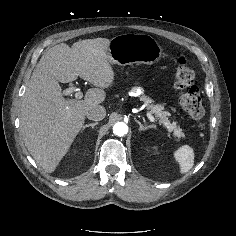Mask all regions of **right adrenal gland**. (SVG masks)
I'll list each match as a JSON object with an SVG mask.
<instances>
[{"mask_svg":"<svg viewBox=\"0 0 236 236\" xmlns=\"http://www.w3.org/2000/svg\"><path fill=\"white\" fill-rule=\"evenodd\" d=\"M97 124H98V122L90 123V124L84 125V126L82 127L81 133H82L86 128L91 127V128L93 129Z\"/></svg>","mask_w":236,"mask_h":236,"instance_id":"2a0ac1e0","label":"right adrenal gland"}]
</instances>
